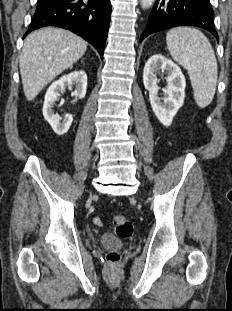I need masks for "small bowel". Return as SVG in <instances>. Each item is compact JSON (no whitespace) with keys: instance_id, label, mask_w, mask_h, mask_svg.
<instances>
[{"instance_id":"small-bowel-1","label":"small bowel","mask_w":232,"mask_h":311,"mask_svg":"<svg viewBox=\"0 0 232 311\" xmlns=\"http://www.w3.org/2000/svg\"><path fill=\"white\" fill-rule=\"evenodd\" d=\"M94 222H95L96 225H102V221L100 219H98V218H96L94 220Z\"/></svg>"}]
</instances>
